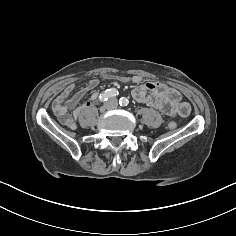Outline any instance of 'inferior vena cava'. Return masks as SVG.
I'll use <instances>...</instances> for the list:
<instances>
[{
	"instance_id": "1",
	"label": "inferior vena cava",
	"mask_w": 236,
	"mask_h": 236,
	"mask_svg": "<svg viewBox=\"0 0 236 236\" xmlns=\"http://www.w3.org/2000/svg\"><path fill=\"white\" fill-rule=\"evenodd\" d=\"M118 106V101L116 98H110L104 103V107L107 110H113L116 109Z\"/></svg>"
}]
</instances>
